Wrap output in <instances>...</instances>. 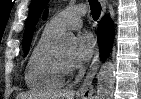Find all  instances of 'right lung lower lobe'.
I'll list each match as a JSON object with an SVG mask.
<instances>
[{"mask_svg": "<svg viewBox=\"0 0 141 99\" xmlns=\"http://www.w3.org/2000/svg\"><path fill=\"white\" fill-rule=\"evenodd\" d=\"M114 38L113 22L109 17H104L98 29V40L101 58L105 60L110 52Z\"/></svg>", "mask_w": 141, "mask_h": 99, "instance_id": "right-lung-lower-lobe-1", "label": "right lung lower lobe"}]
</instances>
